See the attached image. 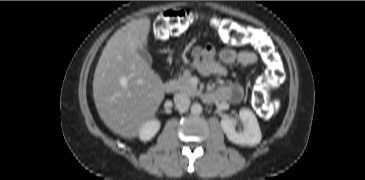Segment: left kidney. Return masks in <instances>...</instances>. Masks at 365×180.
I'll return each mask as SVG.
<instances>
[{
	"instance_id": "1",
	"label": "left kidney",
	"mask_w": 365,
	"mask_h": 180,
	"mask_svg": "<svg viewBox=\"0 0 365 180\" xmlns=\"http://www.w3.org/2000/svg\"><path fill=\"white\" fill-rule=\"evenodd\" d=\"M239 120L244 129L236 130L238 120L234 118H223L220 122L221 127L227 138L239 145L253 146L261 141V131L256 116L249 109H241Z\"/></svg>"
}]
</instances>
